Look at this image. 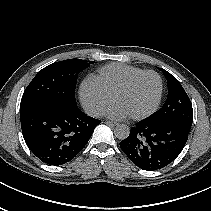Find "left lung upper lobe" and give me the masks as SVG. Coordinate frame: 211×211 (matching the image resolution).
I'll return each mask as SVG.
<instances>
[{"label": "left lung upper lobe", "mask_w": 211, "mask_h": 211, "mask_svg": "<svg viewBox=\"0 0 211 211\" xmlns=\"http://www.w3.org/2000/svg\"><path fill=\"white\" fill-rule=\"evenodd\" d=\"M168 82V96L163 107L146 120L151 122H173L191 128L193 122L192 103L180 82L168 71L159 68Z\"/></svg>", "instance_id": "5c2ea615"}]
</instances>
